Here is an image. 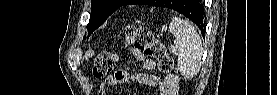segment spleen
<instances>
[{
	"label": "spleen",
	"instance_id": "3e777b00",
	"mask_svg": "<svg viewBox=\"0 0 277 95\" xmlns=\"http://www.w3.org/2000/svg\"><path fill=\"white\" fill-rule=\"evenodd\" d=\"M173 43L178 51L177 65L185 78H192L200 70L202 42L196 29L187 21L173 17L169 24Z\"/></svg>",
	"mask_w": 277,
	"mask_h": 95
}]
</instances>
